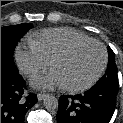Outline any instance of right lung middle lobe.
Here are the masks:
<instances>
[{
	"instance_id": "right-lung-middle-lobe-1",
	"label": "right lung middle lobe",
	"mask_w": 123,
	"mask_h": 123,
	"mask_svg": "<svg viewBox=\"0 0 123 123\" xmlns=\"http://www.w3.org/2000/svg\"><path fill=\"white\" fill-rule=\"evenodd\" d=\"M31 28L29 23L1 27V64L17 69L13 54L16 44Z\"/></svg>"
}]
</instances>
